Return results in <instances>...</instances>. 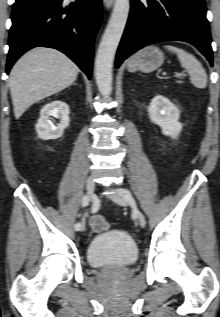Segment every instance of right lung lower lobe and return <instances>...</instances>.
Here are the masks:
<instances>
[{"label": "right lung lower lobe", "mask_w": 220, "mask_h": 317, "mask_svg": "<svg viewBox=\"0 0 220 317\" xmlns=\"http://www.w3.org/2000/svg\"><path fill=\"white\" fill-rule=\"evenodd\" d=\"M16 0L12 9L8 74L16 60L36 46L58 49L91 79L93 42L101 22V0Z\"/></svg>", "instance_id": "1"}]
</instances>
